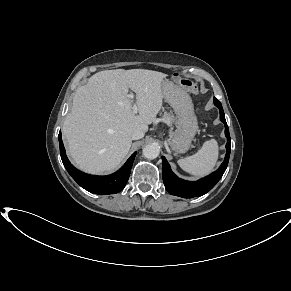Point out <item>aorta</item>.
I'll use <instances>...</instances> for the list:
<instances>
[{"label":"aorta","instance_id":"1","mask_svg":"<svg viewBox=\"0 0 291 291\" xmlns=\"http://www.w3.org/2000/svg\"><path fill=\"white\" fill-rule=\"evenodd\" d=\"M143 156L147 159H155L158 157L160 150L155 144L146 145L142 150Z\"/></svg>","mask_w":291,"mask_h":291}]
</instances>
